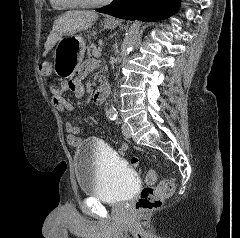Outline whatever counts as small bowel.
Segmentation results:
<instances>
[{
	"mask_svg": "<svg viewBox=\"0 0 240 238\" xmlns=\"http://www.w3.org/2000/svg\"><path fill=\"white\" fill-rule=\"evenodd\" d=\"M97 67V62L94 60L86 61L78 74V77L72 80L62 81L60 87H50L51 101L55 108L59 111H72L73 105L63 96L66 91H72L78 98L84 95V86L81 82V77L87 74L89 71ZM65 130L67 132V142L71 147H77L81 143V139L78 137L80 132L79 127L68 122L65 124ZM130 143H123L119 148V154H126L125 148H130ZM131 163L133 167H140V156H131ZM138 174H145V169H138Z\"/></svg>",
	"mask_w": 240,
	"mask_h": 238,
	"instance_id": "1",
	"label": "small bowel"
}]
</instances>
